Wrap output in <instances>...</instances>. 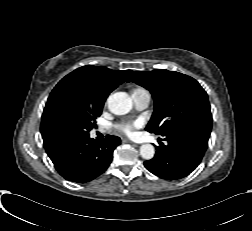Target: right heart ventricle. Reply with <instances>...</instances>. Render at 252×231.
<instances>
[{"label":"right heart ventricle","instance_id":"1","mask_svg":"<svg viewBox=\"0 0 252 231\" xmlns=\"http://www.w3.org/2000/svg\"><path fill=\"white\" fill-rule=\"evenodd\" d=\"M135 90H142V89L138 88V89H135ZM135 90H134V91H135Z\"/></svg>","mask_w":252,"mask_h":231}]
</instances>
